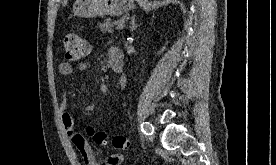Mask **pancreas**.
Listing matches in <instances>:
<instances>
[{
  "mask_svg": "<svg viewBox=\"0 0 276 165\" xmlns=\"http://www.w3.org/2000/svg\"><path fill=\"white\" fill-rule=\"evenodd\" d=\"M115 22H111L110 19H106L103 23H99L98 26L102 32L113 33Z\"/></svg>",
  "mask_w": 276,
  "mask_h": 165,
  "instance_id": "pancreas-1",
  "label": "pancreas"
}]
</instances>
